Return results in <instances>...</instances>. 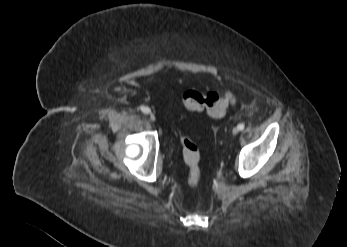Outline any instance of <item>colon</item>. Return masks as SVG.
<instances>
[{
    "instance_id": "colon-1",
    "label": "colon",
    "mask_w": 347,
    "mask_h": 247,
    "mask_svg": "<svg viewBox=\"0 0 347 247\" xmlns=\"http://www.w3.org/2000/svg\"><path fill=\"white\" fill-rule=\"evenodd\" d=\"M233 102L234 97L231 93H201L196 90H187L183 94V104L187 109L192 111L206 110L214 118L223 116ZM180 143L183 160L189 171L188 185L195 188L201 177L200 150L195 142L185 134L180 135Z\"/></svg>"
}]
</instances>
